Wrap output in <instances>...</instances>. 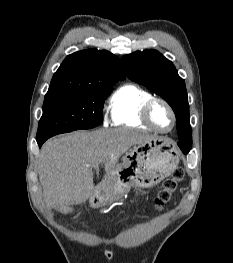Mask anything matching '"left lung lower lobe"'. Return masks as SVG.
<instances>
[{
	"label": "left lung lower lobe",
	"mask_w": 233,
	"mask_h": 263,
	"mask_svg": "<svg viewBox=\"0 0 233 263\" xmlns=\"http://www.w3.org/2000/svg\"><path fill=\"white\" fill-rule=\"evenodd\" d=\"M178 146L184 154H188L191 149L190 144H188V142L184 139H179Z\"/></svg>",
	"instance_id": "obj_1"
}]
</instances>
